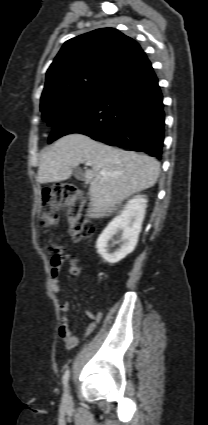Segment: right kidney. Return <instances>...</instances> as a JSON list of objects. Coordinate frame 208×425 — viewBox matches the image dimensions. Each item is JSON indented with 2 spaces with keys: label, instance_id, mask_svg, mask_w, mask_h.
Instances as JSON below:
<instances>
[{
  "label": "right kidney",
  "instance_id": "ca27d5eb",
  "mask_svg": "<svg viewBox=\"0 0 208 425\" xmlns=\"http://www.w3.org/2000/svg\"><path fill=\"white\" fill-rule=\"evenodd\" d=\"M147 202L144 195H137L130 199L122 212L107 225L99 236L96 248L102 258L108 263L119 262L135 249L141 232ZM119 231H122V245L117 251L111 252L108 248V242Z\"/></svg>",
  "mask_w": 208,
  "mask_h": 425
}]
</instances>
